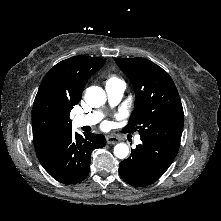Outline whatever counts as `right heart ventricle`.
<instances>
[{
    "label": "right heart ventricle",
    "instance_id": "right-heart-ventricle-1",
    "mask_svg": "<svg viewBox=\"0 0 221 221\" xmlns=\"http://www.w3.org/2000/svg\"><path fill=\"white\" fill-rule=\"evenodd\" d=\"M117 81H121L119 78H117L116 76H111L109 77V79L107 80V83L110 82H117Z\"/></svg>",
    "mask_w": 221,
    "mask_h": 221
}]
</instances>
